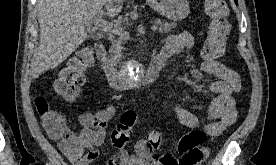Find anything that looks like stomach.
<instances>
[{
	"label": "stomach",
	"mask_w": 276,
	"mask_h": 165,
	"mask_svg": "<svg viewBox=\"0 0 276 165\" xmlns=\"http://www.w3.org/2000/svg\"><path fill=\"white\" fill-rule=\"evenodd\" d=\"M147 3L162 16L173 21L186 18L190 12L187 0H147Z\"/></svg>",
	"instance_id": "0dacf381"
}]
</instances>
